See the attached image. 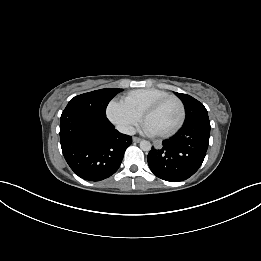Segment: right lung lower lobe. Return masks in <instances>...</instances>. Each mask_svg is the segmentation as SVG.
<instances>
[{
    "instance_id": "obj_1",
    "label": "right lung lower lobe",
    "mask_w": 261,
    "mask_h": 261,
    "mask_svg": "<svg viewBox=\"0 0 261 261\" xmlns=\"http://www.w3.org/2000/svg\"><path fill=\"white\" fill-rule=\"evenodd\" d=\"M60 141L73 172L100 181L118 170L132 137L119 133L106 116L71 110L61 115Z\"/></svg>"
}]
</instances>
